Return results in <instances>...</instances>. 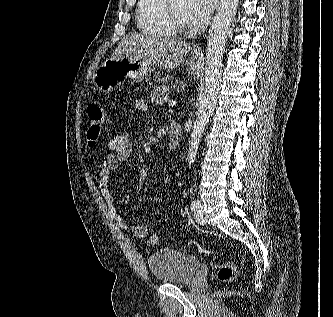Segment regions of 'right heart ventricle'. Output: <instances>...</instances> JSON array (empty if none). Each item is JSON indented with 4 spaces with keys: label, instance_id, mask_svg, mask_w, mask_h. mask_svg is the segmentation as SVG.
<instances>
[{
    "label": "right heart ventricle",
    "instance_id": "obj_1",
    "mask_svg": "<svg viewBox=\"0 0 333 317\" xmlns=\"http://www.w3.org/2000/svg\"><path fill=\"white\" fill-rule=\"evenodd\" d=\"M163 0H138L136 21L139 30L157 38H173L176 31L167 23L163 10Z\"/></svg>",
    "mask_w": 333,
    "mask_h": 317
}]
</instances>
